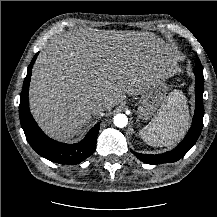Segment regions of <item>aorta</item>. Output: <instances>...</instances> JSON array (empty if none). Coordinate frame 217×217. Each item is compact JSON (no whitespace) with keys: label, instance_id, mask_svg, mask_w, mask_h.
<instances>
[{"label":"aorta","instance_id":"obj_1","mask_svg":"<svg viewBox=\"0 0 217 217\" xmlns=\"http://www.w3.org/2000/svg\"><path fill=\"white\" fill-rule=\"evenodd\" d=\"M114 125L119 128H123L128 124V118L125 114H117L113 118Z\"/></svg>","mask_w":217,"mask_h":217}]
</instances>
